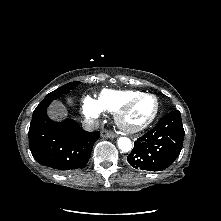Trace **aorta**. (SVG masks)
Instances as JSON below:
<instances>
[{
	"instance_id": "762f6f07",
	"label": "aorta",
	"mask_w": 221,
	"mask_h": 221,
	"mask_svg": "<svg viewBox=\"0 0 221 221\" xmlns=\"http://www.w3.org/2000/svg\"><path fill=\"white\" fill-rule=\"evenodd\" d=\"M117 144L119 149L123 152H129L132 149V143L127 137H120Z\"/></svg>"
}]
</instances>
